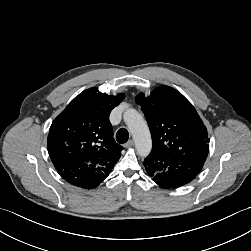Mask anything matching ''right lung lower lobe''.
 I'll return each instance as SVG.
<instances>
[{
    "instance_id": "98d812e1",
    "label": "right lung lower lobe",
    "mask_w": 251,
    "mask_h": 251,
    "mask_svg": "<svg viewBox=\"0 0 251 251\" xmlns=\"http://www.w3.org/2000/svg\"><path fill=\"white\" fill-rule=\"evenodd\" d=\"M63 156L58 157L55 160H52L55 168H57V164L62 161ZM83 171L74 179L65 178V180L72 185L79 186L86 189H91L97 187L109 174L98 175L95 171V166H88L82 169Z\"/></svg>"
}]
</instances>
